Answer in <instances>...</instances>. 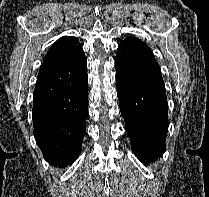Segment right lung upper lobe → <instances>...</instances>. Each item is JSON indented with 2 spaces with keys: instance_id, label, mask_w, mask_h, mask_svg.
<instances>
[{
  "instance_id": "1",
  "label": "right lung upper lobe",
  "mask_w": 209,
  "mask_h": 197,
  "mask_svg": "<svg viewBox=\"0 0 209 197\" xmlns=\"http://www.w3.org/2000/svg\"><path fill=\"white\" fill-rule=\"evenodd\" d=\"M82 50L78 39L73 36L59 38L49 49L38 77L53 72L73 59Z\"/></svg>"
}]
</instances>
